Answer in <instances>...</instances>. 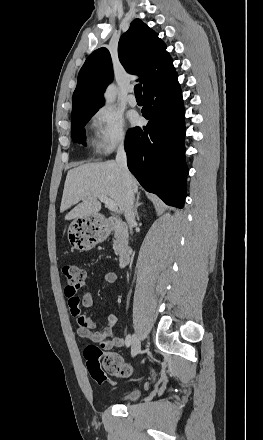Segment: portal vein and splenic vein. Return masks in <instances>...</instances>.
Returning a JSON list of instances; mask_svg holds the SVG:
<instances>
[{
  "label": "portal vein and splenic vein",
  "mask_w": 263,
  "mask_h": 440,
  "mask_svg": "<svg viewBox=\"0 0 263 440\" xmlns=\"http://www.w3.org/2000/svg\"><path fill=\"white\" fill-rule=\"evenodd\" d=\"M98 198L101 202H103L105 204V206L112 212H117L118 211V206L117 204L111 200L109 197L105 196V195H98Z\"/></svg>",
  "instance_id": "1"
}]
</instances>
